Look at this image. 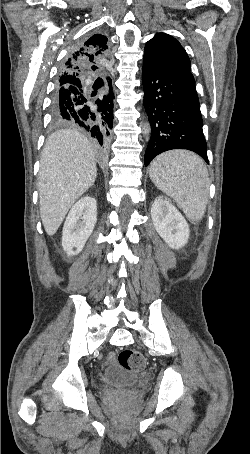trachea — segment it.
I'll use <instances>...</instances> for the list:
<instances>
[{"mask_svg":"<svg viewBox=\"0 0 250 454\" xmlns=\"http://www.w3.org/2000/svg\"><path fill=\"white\" fill-rule=\"evenodd\" d=\"M98 80L102 81V79H101V78H98Z\"/></svg>","mask_w":250,"mask_h":454,"instance_id":"3493384b","label":"trachea"}]
</instances>
